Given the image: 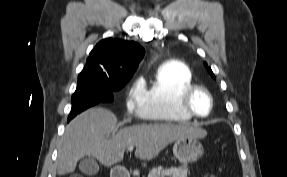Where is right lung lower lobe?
I'll use <instances>...</instances> for the list:
<instances>
[{"mask_svg":"<svg viewBox=\"0 0 287 177\" xmlns=\"http://www.w3.org/2000/svg\"><path fill=\"white\" fill-rule=\"evenodd\" d=\"M98 104V102L95 101H85V102H79L72 105V109L68 118V121H70L73 117H75L80 112L88 109L89 107H92L94 105Z\"/></svg>","mask_w":287,"mask_h":177,"instance_id":"obj_1","label":"right lung lower lobe"}]
</instances>
